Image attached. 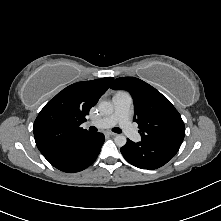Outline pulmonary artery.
<instances>
[{
    "instance_id": "1",
    "label": "pulmonary artery",
    "mask_w": 221,
    "mask_h": 221,
    "mask_svg": "<svg viewBox=\"0 0 221 221\" xmlns=\"http://www.w3.org/2000/svg\"><path fill=\"white\" fill-rule=\"evenodd\" d=\"M114 111L103 118L91 121L88 124L98 128H110L118 124L125 134L134 142L141 140L140 134L131 122L132 97L129 93L119 91L113 96Z\"/></svg>"
}]
</instances>
